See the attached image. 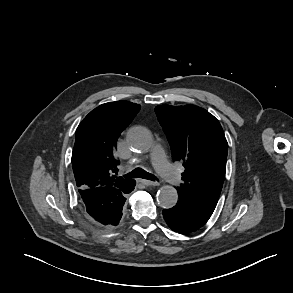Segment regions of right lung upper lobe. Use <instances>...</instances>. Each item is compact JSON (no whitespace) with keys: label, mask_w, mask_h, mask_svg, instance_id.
Returning a JSON list of instances; mask_svg holds the SVG:
<instances>
[{"label":"right lung upper lobe","mask_w":293,"mask_h":293,"mask_svg":"<svg viewBox=\"0 0 293 293\" xmlns=\"http://www.w3.org/2000/svg\"><path fill=\"white\" fill-rule=\"evenodd\" d=\"M139 104L116 101L91 111L76 130L72 167L80 189L121 188L131 182L118 177L116 142L140 109Z\"/></svg>","instance_id":"right-lung-upper-lobe-1"}]
</instances>
